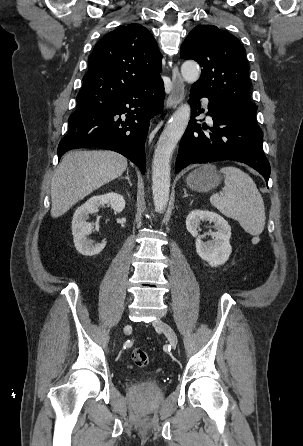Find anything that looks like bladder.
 Masks as SVG:
<instances>
[{
	"instance_id": "1",
	"label": "bladder",
	"mask_w": 303,
	"mask_h": 446,
	"mask_svg": "<svg viewBox=\"0 0 303 446\" xmlns=\"http://www.w3.org/2000/svg\"><path fill=\"white\" fill-rule=\"evenodd\" d=\"M140 385H141V386H147L148 383L144 381V382H141Z\"/></svg>"
}]
</instances>
